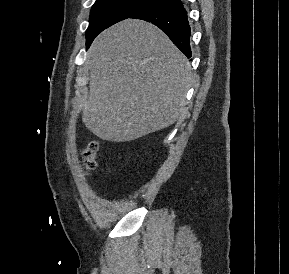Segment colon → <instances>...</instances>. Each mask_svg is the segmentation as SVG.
I'll return each mask as SVG.
<instances>
[{
  "mask_svg": "<svg viewBox=\"0 0 289 274\" xmlns=\"http://www.w3.org/2000/svg\"><path fill=\"white\" fill-rule=\"evenodd\" d=\"M97 150L98 143L96 141H90L82 150V158L87 171L93 170L96 166Z\"/></svg>",
  "mask_w": 289,
  "mask_h": 274,
  "instance_id": "5ec220e1",
  "label": "colon"
}]
</instances>
